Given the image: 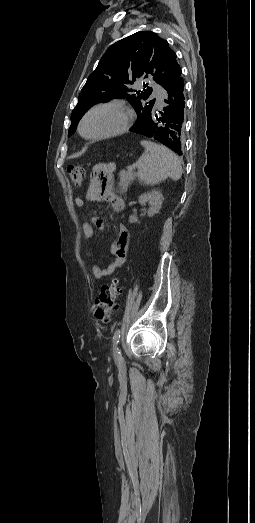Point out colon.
I'll list each match as a JSON object with an SVG mask.
<instances>
[{
	"mask_svg": "<svg viewBox=\"0 0 255 523\" xmlns=\"http://www.w3.org/2000/svg\"><path fill=\"white\" fill-rule=\"evenodd\" d=\"M67 172L72 184L77 188L81 187L85 178L84 169L80 166H69ZM121 294L122 289L117 279L103 285L93 306L95 318L103 322L109 321L118 307V299Z\"/></svg>",
	"mask_w": 255,
	"mask_h": 523,
	"instance_id": "obj_1",
	"label": "colon"
}]
</instances>
